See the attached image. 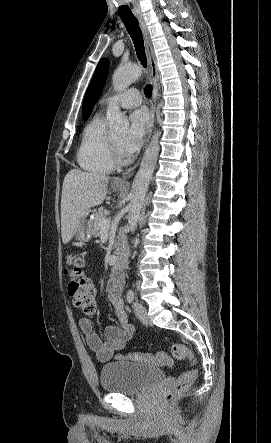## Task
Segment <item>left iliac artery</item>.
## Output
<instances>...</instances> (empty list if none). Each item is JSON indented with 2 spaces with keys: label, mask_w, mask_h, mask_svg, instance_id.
<instances>
[{
  "label": "left iliac artery",
  "mask_w": 271,
  "mask_h": 443,
  "mask_svg": "<svg viewBox=\"0 0 271 443\" xmlns=\"http://www.w3.org/2000/svg\"><path fill=\"white\" fill-rule=\"evenodd\" d=\"M134 298H135L134 291L129 290L126 295V299H127L128 303H131L134 300Z\"/></svg>",
  "instance_id": "left-iliac-artery-1"
}]
</instances>
